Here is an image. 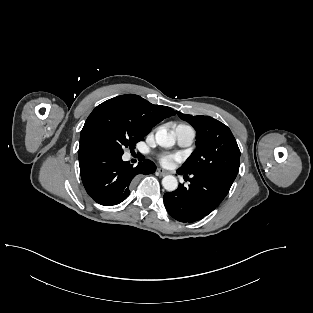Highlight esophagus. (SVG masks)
<instances>
[{"mask_svg": "<svg viewBox=\"0 0 313 313\" xmlns=\"http://www.w3.org/2000/svg\"><path fill=\"white\" fill-rule=\"evenodd\" d=\"M157 173H158L160 176H165V175L168 174L167 171H165V170H163V169H161V168H158V169H157Z\"/></svg>", "mask_w": 313, "mask_h": 313, "instance_id": "34e87169", "label": "esophagus"}]
</instances>
